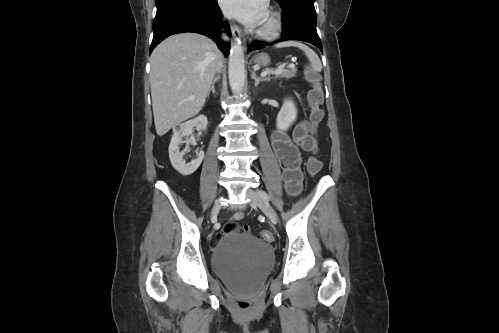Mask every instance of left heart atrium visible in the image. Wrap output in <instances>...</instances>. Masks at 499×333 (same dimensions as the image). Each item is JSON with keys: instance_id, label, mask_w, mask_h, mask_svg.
Masks as SVG:
<instances>
[{"instance_id": "left-heart-atrium-1", "label": "left heart atrium", "mask_w": 499, "mask_h": 333, "mask_svg": "<svg viewBox=\"0 0 499 333\" xmlns=\"http://www.w3.org/2000/svg\"><path fill=\"white\" fill-rule=\"evenodd\" d=\"M222 11L250 26L263 22L267 14V0H219Z\"/></svg>"}]
</instances>
